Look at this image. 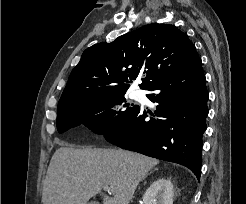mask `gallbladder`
<instances>
[{
  "label": "gallbladder",
  "instance_id": "obj_1",
  "mask_svg": "<svg viewBox=\"0 0 246 204\" xmlns=\"http://www.w3.org/2000/svg\"><path fill=\"white\" fill-rule=\"evenodd\" d=\"M87 204H99V203L96 202V201H92V202H89V203H87Z\"/></svg>",
  "mask_w": 246,
  "mask_h": 204
}]
</instances>
